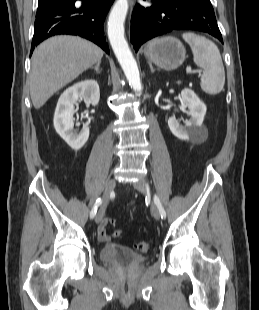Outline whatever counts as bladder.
<instances>
[{"label": "bladder", "mask_w": 259, "mask_h": 310, "mask_svg": "<svg viewBox=\"0 0 259 310\" xmlns=\"http://www.w3.org/2000/svg\"><path fill=\"white\" fill-rule=\"evenodd\" d=\"M99 258L119 267H131L145 261L143 255L116 244H105L100 250Z\"/></svg>", "instance_id": "1"}]
</instances>
